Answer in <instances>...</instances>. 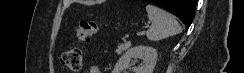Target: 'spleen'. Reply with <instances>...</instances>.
Wrapping results in <instances>:
<instances>
[{"mask_svg":"<svg viewBox=\"0 0 244 73\" xmlns=\"http://www.w3.org/2000/svg\"><path fill=\"white\" fill-rule=\"evenodd\" d=\"M148 19L151 21V27L146 32L150 41H159L167 37L179 34L182 29L173 15L167 11L152 5H146Z\"/></svg>","mask_w":244,"mask_h":73,"instance_id":"spleen-1","label":"spleen"}]
</instances>
